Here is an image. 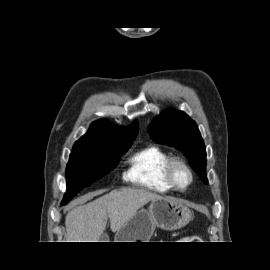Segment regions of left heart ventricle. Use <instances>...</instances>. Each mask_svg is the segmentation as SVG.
<instances>
[{"instance_id":"1","label":"left heart ventricle","mask_w":270,"mask_h":270,"mask_svg":"<svg viewBox=\"0 0 270 270\" xmlns=\"http://www.w3.org/2000/svg\"><path fill=\"white\" fill-rule=\"evenodd\" d=\"M176 179L180 185H185L188 182V174L182 168L176 170Z\"/></svg>"}]
</instances>
